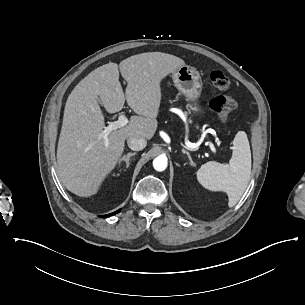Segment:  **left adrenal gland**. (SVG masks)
I'll use <instances>...</instances> for the list:
<instances>
[{
  "label": "left adrenal gland",
  "instance_id": "obj_1",
  "mask_svg": "<svg viewBox=\"0 0 305 305\" xmlns=\"http://www.w3.org/2000/svg\"><path fill=\"white\" fill-rule=\"evenodd\" d=\"M184 153H186V154H187L188 159H189V161H190V164L193 166V165H194V162H193V160H192V158H191L190 153H189V152H187V151H184Z\"/></svg>",
  "mask_w": 305,
  "mask_h": 305
}]
</instances>
